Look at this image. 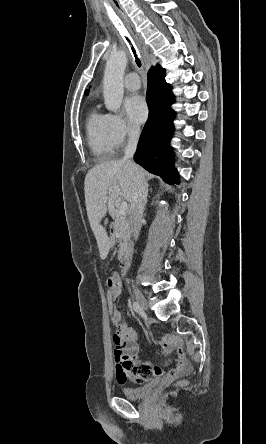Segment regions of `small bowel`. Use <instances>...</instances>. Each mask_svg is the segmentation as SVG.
Instances as JSON below:
<instances>
[{"mask_svg":"<svg viewBox=\"0 0 266 444\" xmlns=\"http://www.w3.org/2000/svg\"><path fill=\"white\" fill-rule=\"evenodd\" d=\"M112 283H117L118 295L121 293L120 277L114 273L107 279L110 287ZM116 332L113 335L115 344L114 357L116 360L117 378L121 384L130 379L135 384H143L151 380H162L165 384L171 383L180 376L187 375L191 368L179 347L178 341L172 336H164L161 339V347L165 351L175 349L173 361L175 363L171 370L165 371L162 367L144 363L138 357V344L136 342L137 335L135 331L129 327L123 320L121 313L118 311L111 317Z\"/></svg>","mask_w":266,"mask_h":444,"instance_id":"obj_1","label":"small bowel"}]
</instances>
